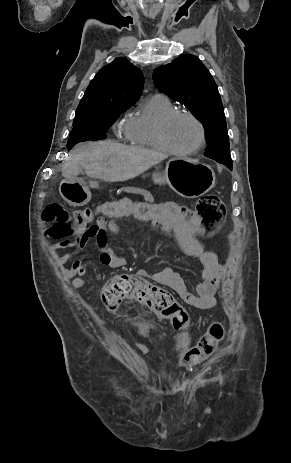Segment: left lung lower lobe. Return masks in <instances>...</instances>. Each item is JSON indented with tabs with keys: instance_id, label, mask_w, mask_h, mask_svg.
<instances>
[{
	"instance_id": "0a47b994",
	"label": "left lung lower lobe",
	"mask_w": 291,
	"mask_h": 463,
	"mask_svg": "<svg viewBox=\"0 0 291 463\" xmlns=\"http://www.w3.org/2000/svg\"><path fill=\"white\" fill-rule=\"evenodd\" d=\"M216 161L219 163L225 164L229 169L232 170V161L220 160V159H217Z\"/></svg>"
}]
</instances>
